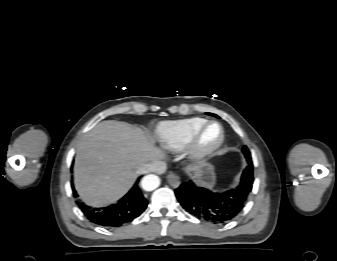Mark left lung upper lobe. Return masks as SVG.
<instances>
[{"instance_id": "left-lung-upper-lobe-1", "label": "left lung upper lobe", "mask_w": 337, "mask_h": 261, "mask_svg": "<svg viewBox=\"0 0 337 261\" xmlns=\"http://www.w3.org/2000/svg\"><path fill=\"white\" fill-rule=\"evenodd\" d=\"M243 153L247 159V162H248V166H247V169L248 168H253V163H252V160H251V155H250V151L248 150V148L246 146L243 147Z\"/></svg>"}]
</instances>
